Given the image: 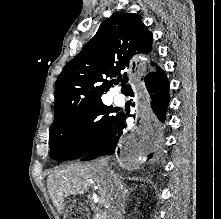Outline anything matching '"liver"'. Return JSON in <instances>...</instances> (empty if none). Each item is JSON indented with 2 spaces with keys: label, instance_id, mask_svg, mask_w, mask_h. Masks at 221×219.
Here are the masks:
<instances>
[{
  "label": "liver",
  "instance_id": "1",
  "mask_svg": "<svg viewBox=\"0 0 221 219\" xmlns=\"http://www.w3.org/2000/svg\"><path fill=\"white\" fill-rule=\"evenodd\" d=\"M122 179L114 171H112V174L104 172L99 165V161L94 163H74L51 172L47 179V188L51 200L59 213L64 210L66 197L84 194L93 185L96 186L100 195L99 202L109 211L116 199V192L122 193L126 189Z\"/></svg>",
  "mask_w": 221,
  "mask_h": 219
}]
</instances>
